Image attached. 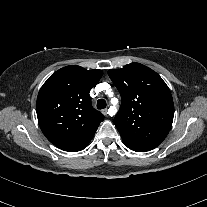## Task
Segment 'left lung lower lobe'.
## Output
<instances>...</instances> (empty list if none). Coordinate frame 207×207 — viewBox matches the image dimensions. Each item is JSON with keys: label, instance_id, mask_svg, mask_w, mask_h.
<instances>
[{"label": "left lung lower lobe", "instance_id": "left-lung-lower-lobe-1", "mask_svg": "<svg viewBox=\"0 0 207 207\" xmlns=\"http://www.w3.org/2000/svg\"><path fill=\"white\" fill-rule=\"evenodd\" d=\"M124 143L128 148H130L131 150L136 151V152H146V151L153 149L151 147L140 146V145H136V144H133V143L127 142V141H124Z\"/></svg>", "mask_w": 207, "mask_h": 207}]
</instances>
